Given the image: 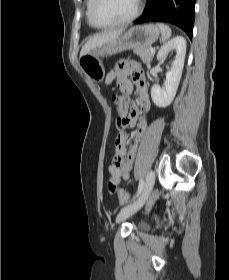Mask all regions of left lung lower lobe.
<instances>
[{
  "label": "left lung lower lobe",
  "instance_id": "0a47b994",
  "mask_svg": "<svg viewBox=\"0 0 229 280\" xmlns=\"http://www.w3.org/2000/svg\"><path fill=\"white\" fill-rule=\"evenodd\" d=\"M196 0H147L143 15L135 24L149 21L172 23L192 39Z\"/></svg>",
  "mask_w": 229,
  "mask_h": 280
}]
</instances>
